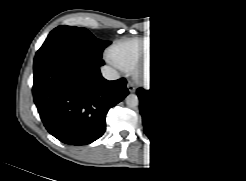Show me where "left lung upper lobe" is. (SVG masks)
Listing matches in <instances>:
<instances>
[{"label": "left lung upper lobe", "mask_w": 246, "mask_h": 181, "mask_svg": "<svg viewBox=\"0 0 246 181\" xmlns=\"http://www.w3.org/2000/svg\"><path fill=\"white\" fill-rule=\"evenodd\" d=\"M182 38L186 44L190 47L187 51L188 58L210 52V50L201 43L193 34L185 33L182 35Z\"/></svg>", "instance_id": "obj_1"}]
</instances>
